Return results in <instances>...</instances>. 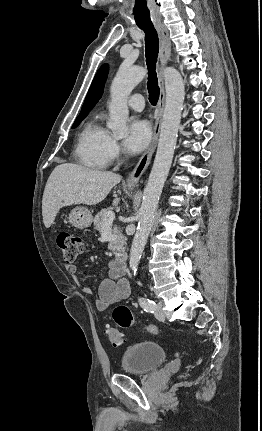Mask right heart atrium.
I'll list each match as a JSON object with an SVG mask.
<instances>
[{
    "mask_svg": "<svg viewBox=\"0 0 262 431\" xmlns=\"http://www.w3.org/2000/svg\"><path fill=\"white\" fill-rule=\"evenodd\" d=\"M119 152H120L119 143L113 137L110 136L106 146L108 161L114 160L119 155Z\"/></svg>",
    "mask_w": 262,
    "mask_h": 431,
    "instance_id": "right-heart-atrium-1",
    "label": "right heart atrium"
}]
</instances>
